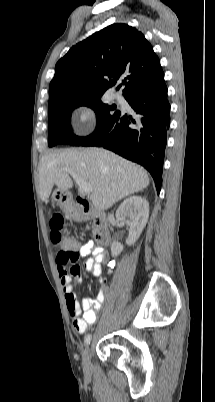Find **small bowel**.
I'll list each match as a JSON object with an SVG mask.
<instances>
[{
  "label": "small bowel",
  "instance_id": "small-bowel-1",
  "mask_svg": "<svg viewBox=\"0 0 215 402\" xmlns=\"http://www.w3.org/2000/svg\"><path fill=\"white\" fill-rule=\"evenodd\" d=\"M78 260L86 258L84 269L99 277V291L94 299L78 300L75 289L80 285L82 278L80 267L77 265L75 270H69V264L56 261L60 283L63 289L68 313L72 319L73 328L77 334H84L89 327L96 323L98 313L101 311L105 301L108 287L106 279L102 277V265L106 262V254L103 247L96 245L93 241H87L80 245L78 250ZM77 260V261H78Z\"/></svg>",
  "mask_w": 215,
  "mask_h": 402
}]
</instances>
